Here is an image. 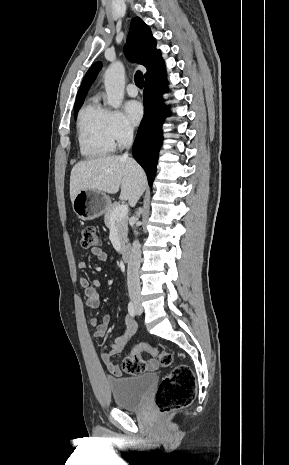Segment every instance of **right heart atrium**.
I'll return each mask as SVG.
<instances>
[{"instance_id":"right-heart-atrium-1","label":"right heart atrium","mask_w":289,"mask_h":465,"mask_svg":"<svg viewBox=\"0 0 289 465\" xmlns=\"http://www.w3.org/2000/svg\"><path fill=\"white\" fill-rule=\"evenodd\" d=\"M109 130L118 145H124L133 138V128L124 114L118 110L109 112Z\"/></svg>"}]
</instances>
